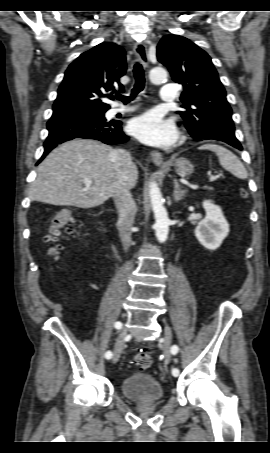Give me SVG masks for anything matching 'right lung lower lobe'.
<instances>
[{"instance_id": "right-lung-lower-lobe-1", "label": "right lung lower lobe", "mask_w": 270, "mask_h": 453, "mask_svg": "<svg viewBox=\"0 0 270 453\" xmlns=\"http://www.w3.org/2000/svg\"><path fill=\"white\" fill-rule=\"evenodd\" d=\"M47 128L49 135L44 143L45 151L38 163L58 144L74 138L95 139L109 145L123 143L129 139L123 133L120 122L97 121L77 114L51 117Z\"/></svg>"}]
</instances>
